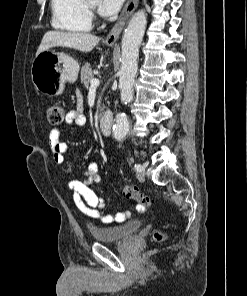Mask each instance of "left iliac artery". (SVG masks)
<instances>
[{"label":"left iliac artery","instance_id":"obj_1","mask_svg":"<svg viewBox=\"0 0 247 296\" xmlns=\"http://www.w3.org/2000/svg\"><path fill=\"white\" fill-rule=\"evenodd\" d=\"M136 171H141L142 170V166L140 164H135L134 166Z\"/></svg>","mask_w":247,"mask_h":296}]
</instances>
